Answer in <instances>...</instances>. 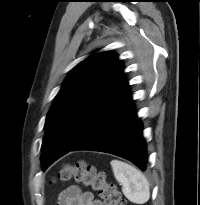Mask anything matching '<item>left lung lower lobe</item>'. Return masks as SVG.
Segmentation results:
<instances>
[{"label": "left lung lower lobe", "instance_id": "1", "mask_svg": "<svg viewBox=\"0 0 200 205\" xmlns=\"http://www.w3.org/2000/svg\"><path fill=\"white\" fill-rule=\"evenodd\" d=\"M75 150L111 153L146 170L147 149L142 124L136 115L127 81L106 111L70 151Z\"/></svg>", "mask_w": 200, "mask_h": 205}]
</instances>
